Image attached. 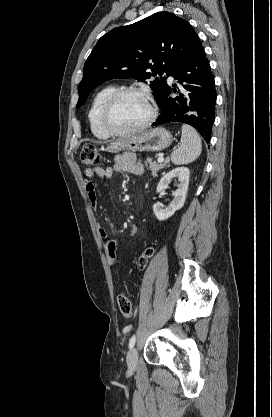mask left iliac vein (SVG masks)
<instances>
[{
  "label": "left iliac vein",
  "mask_w": 272,
  "mask_h": 417,
  "mask_svg": "<svg viewBox=\"0 0 272 417\" xmlns=\"http://www.w3.org/2000/svg\"><path fill=\"white\" fill-rule=\"evenodd\" d=\"M138 364V352L136 348H132L127 355V365L129 370L133 371L136 369Z\"/></svg>",
  "instance_id": "1"
}]
</instances>
